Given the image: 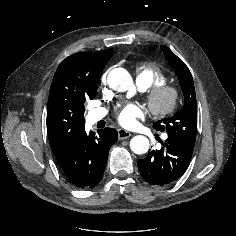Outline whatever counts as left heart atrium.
<instances>
[{
	"label": "left heart atrium",
	"instance_id": "1",
	"mask_svg": "<svg viewBox=\"0 0 236 236\" xmlns=\"http://www.w3.org/2000/svg\"><path fill=\"white\" fill-rule=\"evenodd\" d=\"M143 116L144 113L142 109L135 104H126L117 112L118 122L126 128L135 127L137 125V120Z\"/></svg>",
	"mask_w": 236,
	"mask_h": 236
}]
</instances>
